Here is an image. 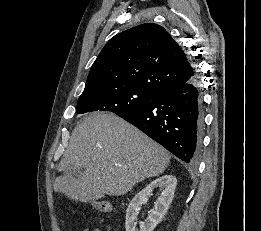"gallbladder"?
<instances>
[{
    "mask_svg": "<svg viewBox=\"0 0 261 231\" xmlns=\"http://www.w3.org/2000/svg\"><path fill=\"white\" fill-rule=\"evenodd\" d=\"M82 172V169H76L74 172H73V176L74 177H78L80 175V173Z\"/></svg>",
    "mask_w": 261,
    "mask_h": 231,
    "instance_id": "obj_1",
    "label": "gallbladder"
}]
</instances>
